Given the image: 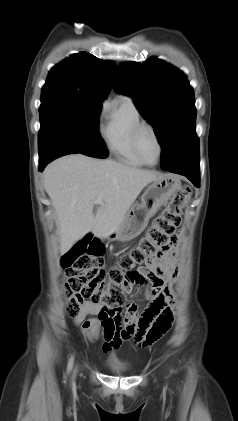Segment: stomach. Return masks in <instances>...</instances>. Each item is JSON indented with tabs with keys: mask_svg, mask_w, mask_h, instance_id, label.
<instances>
[{
	"mask_svg": "<svg viewBox=\"0 0 238 421\" xmlns=\"http://www.w3.org/2000/svg\"><path fill=\"white\" fill-rule=\"evenodd\" d=\"M180 187V180L169 174L153 181L142 195L141 202L131 207L118 229L110 236L119 241H130L137 237L146 228L150 218Z\"/></svg>",
	"mask_w": 238,
	"mask_h": 421,
	"instance_id": "1",
	"label": "stomach"
}]
</instances>
